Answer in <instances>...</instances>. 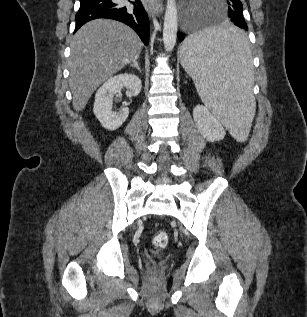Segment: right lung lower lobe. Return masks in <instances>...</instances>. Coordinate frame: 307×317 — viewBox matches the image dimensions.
Instances as JSON below:
<instances>
[{"instance_id": "obj_1", "label": "right lung lower lobe", "mask_w": 307, "mask_h": 317, "mask_svg": "<svg viewBox=\"0 0 307 317\" xmlns=\"http://www.w3.org/2000/svg\"><path fill=\"white\" fill-rule=\"evenodd\" d=\"M134 9H127L116 0H80V8L75 16L77 31L86 22L97 18H110L130 26L145 45L149 43L150 27L148 15L139 0Z\"/></svg>"}]
</instances>
